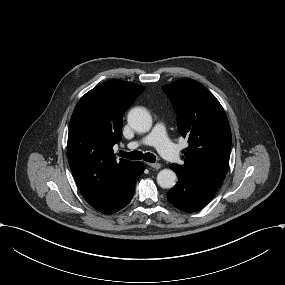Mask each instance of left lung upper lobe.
<instances>
[{"mask_svg": "<svg viewBox=\"0 0 285 285\" xmlns=\"http://www.w3.org/2000/svg\"><path fill=\"white\" fill-rule=\"evenodd\" d=\"M177 113V126L189 147L184 164H173L180 174L216 191L224 180L232 143L224 109L201 83L182 79L162 86Z\"/></svg>", "mask_w": 285, "mask_h": 285, "instance_id": "5c2ea615", "label": "left lung upper lobe"}]
</instances>
